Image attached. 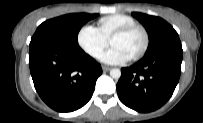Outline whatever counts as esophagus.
<instances>
[{
  "label": "esophagus",
  "instance_id": "34e87169",
  "mask_svg": "<svg viewBox=\"0 0 203 123\" xmlns=\"http://www.w3.org/2000/svg\"><path fill=\"white\" fill-rule=\"evenodd\" d=\"M102 69H103V71H109L111 68L108 66H103Z\"/></svg>",
  "mask_w": 203,
  "mask_h": 123
}]
</instances>
